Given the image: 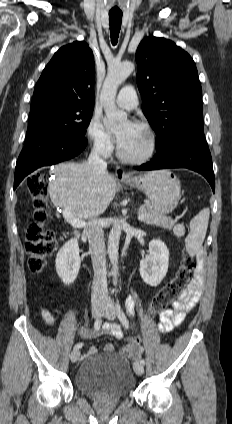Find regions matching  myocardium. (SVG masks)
<instances>
[{
    "instance_id": "obj_1",
    "label": "myocardium",
    "mask_w": 232,
    "mask_h": 424,
    "mask_svg": "<svg viewBox=\"0 0 232 424\" xmlns=\"http://www.w3.org/2000/svg\"><path fill=\"white\" fill-rule=\"evenodd\" d=\"M135 125L139 126L147 133L149 137L148 150L144 154L139 156H129V155H126L124 151L122 150L121 146H119L118 156L122 161L126 163L140 164V163L147 162L154 156L157 149V136L153 128L148 123L143 121H136Z\"/></svg>"
}]
</instances>
